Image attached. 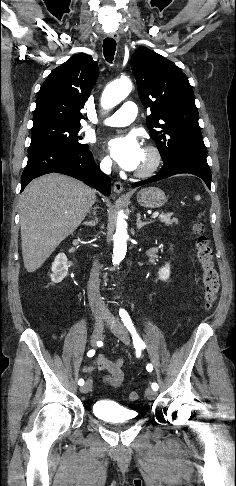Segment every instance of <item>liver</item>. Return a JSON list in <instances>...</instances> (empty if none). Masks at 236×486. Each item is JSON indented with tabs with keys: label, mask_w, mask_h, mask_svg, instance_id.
Returning <instances> with one entry per match:
<instances>
[{
	"label": "liver",
	"mask_w": 236,
	"mask_h": 486,
	"mask_svg": "<svg viewBox=\"0 0 236 486\" xmlns=\"http://www.w3.org/2000/svg\"><path fill=\"white\" fill-rule=\"evenodd\" d=\"M94 200L92 188L58 173L28 184L20 197V225L24 267L29 273L78 228Z\"/></svg>",
	"instance_id": "6515ba94"
}]
</instances>
